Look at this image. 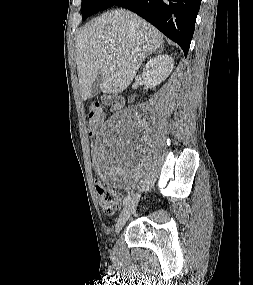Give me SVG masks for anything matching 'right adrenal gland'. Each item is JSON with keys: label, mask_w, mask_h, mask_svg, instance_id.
<instances>
[{"label": "right adrenal gland", "mask_w": 253, "mask_h": 285, "mask_svg": "<svg viewBox=\"0 0 253 285\" xmlns=\"http://www.w3.org/2000/svg\"><path fill=\"white\" fill-rule=\"evenodd\" d=\"M160 51H163V47L160 48ZM152 54V53H151ZM150 55V54H149Z\"/></svg>", "instance_id": "2a0ac1e0"}]
</instances>
